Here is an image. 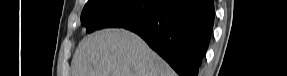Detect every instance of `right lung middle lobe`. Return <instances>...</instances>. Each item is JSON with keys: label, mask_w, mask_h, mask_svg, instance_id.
I'll return each instance as SVG.
<instances>
[{"label": "right lung middle lobe", "mask_w": 287, "mask_h": 76, "mask_svg": "<svg viewBox=\"0 0 287 76\" xmlns=\"http://www.w3.org/2000/svg\"><path fill=\"white\" fill-rule=\"evenodd\" d=\"M163 0H91L81 13L86 33L103 28H126L149 19Z\"/></svg>", "instance_id": "right-lung-middle-lobe-1"}]
</instances>
